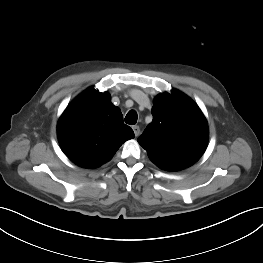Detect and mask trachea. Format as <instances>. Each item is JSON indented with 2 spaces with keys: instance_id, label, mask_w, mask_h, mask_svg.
I'll return each mask as SVG.
<instances>
[{
  "instance_id": "trachea-1",
  "label": "trachea",
  "mask_w": 263,
  "mask_h": 263,
  "mask_svg": "<svg viewBox=\"0 0 263 263\" xmlns=\"http://www.w3.org/2000/svg\"><path fill=\"white\" fill-rule=\"evenodd\" d=\"M137 118V112L135 110H130L125 117V123L129 125H135L137 122Z\"/></svg>"
}]
</instances>
